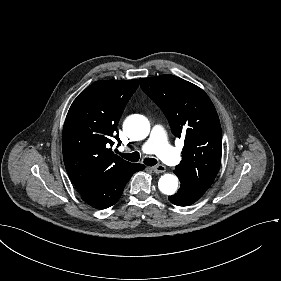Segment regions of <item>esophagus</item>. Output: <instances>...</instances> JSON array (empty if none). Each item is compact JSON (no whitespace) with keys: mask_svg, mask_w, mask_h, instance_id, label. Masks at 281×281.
Wrapping results in <instances>:
<instances>
[{"mask_svg":"<svg viewBox=\"0 0 281 281\" xmlns=\"http://www.w3.org/2000/svg\"><path fill=\"white\" fill-rule=\"evenodd\" d=\"M155 173H162L166 171V167L164 165H157L152 168Z\"/></svg>","mask_w":281,"mask_h":281,"instance_id":"34e87169","label":"esophagus"}]
</instances>
